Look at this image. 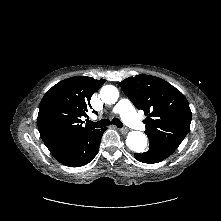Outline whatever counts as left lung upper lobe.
<instances>
[{
    "label": "left lung upper lobe",
    "mask_w": 221,
    "mask_h": 221,
    "mask_svg": "<svg viewBox=\"0 0 221 221\" xmlns=\"http://www.w3.org/2000/svg\"><path fill=\"white\" fill-rule=\"evenodd\" d=\"M120 86L137 109L148 117L145 134L177 148L190 129L192 113L185 96L165 80L151 75H137L120 82Z\"/></svg>",
    "instance_id": "5c2ea615"
}]
</instances>
